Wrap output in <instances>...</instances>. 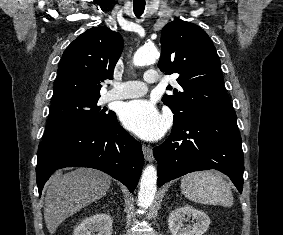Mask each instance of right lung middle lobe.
I'll list each match as a JSON object with an SVG mask.
<instances>
[{
  "label": "right lung middle lobe",
  "mask_w": 283,
  "mask_h": 235,
  "mask_svg": "<svg viewBox=\"0 0 283 235\" xmlns=\"http://www.w3.org/2000/svg\"><path fill=\"white\" fill-rule=\"evenodd\" d=\"M99 97H72L53 102L42 141H47L71 131L93 127L106 121V113L98 106Z\"/></svg>",
  "instance_id": "1"
}]
</instances>
